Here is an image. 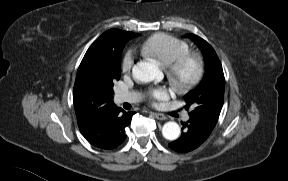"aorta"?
I'll return each mask as SVG.
<instances>
[{"label":"aorta","mask_w":288,"mask_h":181,"mask_svg":"<svg viewBox=\"0 0 288 181\" xmlns=\"http://www.w3.org/2000/svg\"><path fill=\"white\" fill-rule=\"evenodd\" d=\"M133 76L139 82H151L160 76L158 67L150 62L140 61L133 67ZM180 127L176 122H167L163 125L162 135L165 139L173 141L180 135Z\"/></svg>","instance_id":"762f6f07"}]
</instances>
